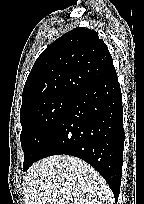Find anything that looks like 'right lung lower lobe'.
Instances as JSON below:
<instances>
[{
  "mask_svg": "<svg viewBox=\"0 0 144 204\" xmlns=\"http://www.w3.org/2000/svg\"><path fill=\"white\" fill-rule=\"evenodd\" d=\"M124 137L121 89L114 71L76 94L38 160L58 154L83 159L104 177L117 201Z\"/></svg>",
  "mask_w": 144,
  "mask_h": 204,
  "instance_id": "1",
  "label": "right lung lower lobe"
}]
</instances>
